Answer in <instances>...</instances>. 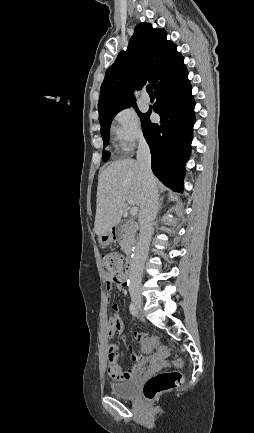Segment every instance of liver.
<instances>
[{"mask_svg": "<svg viewBox=\"0 0 254 433\" xmlns=\"http://www.w3.org/2000/svg\"><path fill=\"white\" fill-rule=\"evenodd\" d=\"M143 198L144 181L138 161L122 159L111 163L98 178L95 234L100 236L120 223L128 199L141 207Z\"/></svg>", "mask_w": 254, "mask_h": 433, "instance_id": "1", "label": "liver"}]
</instances>
